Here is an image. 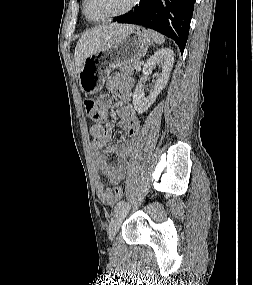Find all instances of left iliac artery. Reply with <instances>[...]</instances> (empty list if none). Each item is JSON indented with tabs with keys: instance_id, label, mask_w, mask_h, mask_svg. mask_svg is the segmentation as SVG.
I'll use <instances>...</instances> for the list:
<instances>
[{
	"instance_id": "obj_1",
	"label": "left iliac artery",
	"mask_w": 253,
	"mask_h": 285,
	"mask_svg": "<svg viewBox=\"0 0 253 285\" xmlns=\"http://www.w3.org/2000/svg\"><path fill=\"white\" fill-rule=\"evenodd\" d=\"M124 203L125 202L123 200L119 201L115 206V211L119 210L124 205Z\"/></svg>"
}]
</instances>
